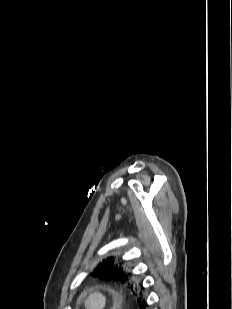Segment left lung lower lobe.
<instances>
[{
	"label": "left lung lower lobe",
	"mask_w": 232,
	"mask_h": 309,
	"mask_svg": "<svg viewBox=\"0 0 232 309\" xmlns=\"http://www.w3.org/2000/svg\"><path fill=\"white\" fill-rule=\"evenodd\" d=\"M139 308L146 309V303L142 302L141 304H139Z\"/></svg>",
	"instance_id": "1"
}]
</instances>
